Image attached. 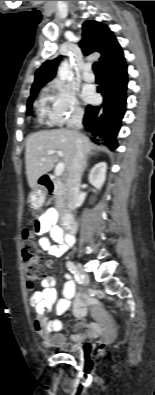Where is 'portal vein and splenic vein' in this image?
Listing matches in <instances>:
<instances>
[{
    "label": "portal vein and splenic vein",
    "mask_w": 155,
    "mask_h": 395,
    "mask_svg": "<svg viewBox=\"0 0 155 395\" xmlns=\"http://www.w3.org/2000/svg\"><path fill=\"white\" fill-rule=\"evenodd\" d=\"M55 153H57L59 156L64 155L63 152L60 150H49L47 152L48 155H52ZM41 160H44V158H42ZM64 169H65V164L63 162H59L55 167V176L57 177L60 176L63 173Z\"/></svg>",
    "instance_id": "portal-vein-and-splenic-vein-1"
}]
</instances>
